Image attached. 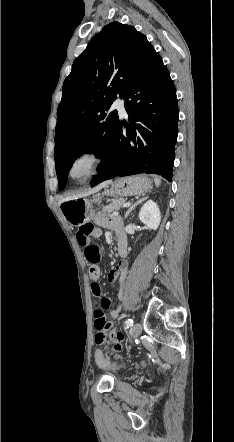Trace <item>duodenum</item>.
I'll return each instance as SVG.
<instances>
[{"mask_svg": "<svg viewBox=\"0 0 234 442\" xmlns=\"http://www.w3.org/2000/svg\"><path fill=\"white\" fill-rule=\"evenodd\" d=\"M123 241L121 240V239H118L117 240V247H118V250H122L123 249Z\"/></svg>", "mask_w": 234, "mask_h": 442, "instance_id": "duodenum-1", "label": "duodenum"}]
</instances>
